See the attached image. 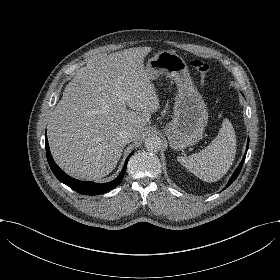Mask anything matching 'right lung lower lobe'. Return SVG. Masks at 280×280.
<instances>
[{"label": "right lung lower lobe", "mask_w": 280, "mask_h": 280, "mask_svg": "<svg viewBox=\"0 0 280 280\" xmlns=\"http://www.w3.org/2000/svg\"><path fill=\"white\" fill-rule=\"evenodd\" d=\"M46 140V154H47V160L49 163L50 168L52 169L53 173L55 174V176L64 184H66L67 186H69L70 188H72L73 190H75L76 192L83 194V195H99L102 193H105L111 189H113L114 187L118 186L120 184V182L122 181L125 172H126V167H127V162L130 158V156L133 154L131 153L124 164V167L121 171V173L119 174V176L114 179L113 181H110L108 183H104V184H96L93 182H85V181H79L76 180L70 176H68L67 174H65L54 162L50 150H49V145H48V140L47 137H45Z\"/></svg>", "instance_id": "right-lung-lower-lobe-1"}]
</instances>
